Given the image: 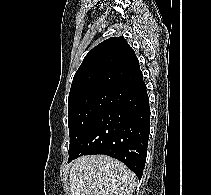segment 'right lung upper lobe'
Wrapping results in <instances>:
<instances>
[{
	"label": "right lung upper lobe",
	"instance_id": "obj_1",
	"mask_svg": "<svg viewBox=\"0 0 211 195\" xmlns=\"http://www.w3.org/2000/svg\"><path fill=\"white\" fill-rule=\"evenodd\" d=\"M142 78L139 61L124 37L109 38L85 56L74 75L69 96L92 90H115Z\"/></svg>",
	"mask_w": 211,
	"mask_h": 195
}]
</instances>
